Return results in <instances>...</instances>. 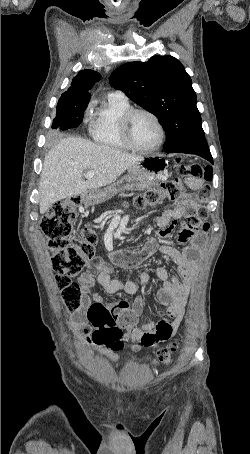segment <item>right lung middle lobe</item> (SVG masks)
<instances>
[{
  "label": "right lung middle lobe",
  "instance_id": "dd1d6c3e",
  "mask_svg": "<svg viewBox=\"0 0 250 454\" xmlns=\"http://www.w3.org/2000/svg\"><path fill=\"white\" fill-rule=\"evenodd\" d=\"M89 102L59 103L56 106V117L53 119L52 128L67 130L78 127L83 119L84 111Z\"/></svg>",
  "mask_w": 250,
  "mask_h": 454
}]
</instances>
